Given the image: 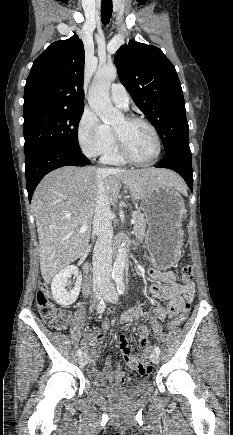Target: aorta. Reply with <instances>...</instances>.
Segmentation results:
<instances>
[{"mask_svg": "<svg viewBox=\"0 0 233 435\" xmlns=\"http://www.w3.org/2000/svg\"><path fill=\"white\" fill-rule=\"evenodd\" d=\"M116 77L117 69L114 65L100 67L89 88V106L95 111L102 122L108 125H114L124 118V115L113 107L109 97L110 85ZM126 256L127 250L124 244H122L118 249V254L114 262L112 276L115 281L122 280Z\"/></svg>", "mask_w": 233, "mask_h": 435, "instance_id": "1", "label": "aorta"}]
</instances>
